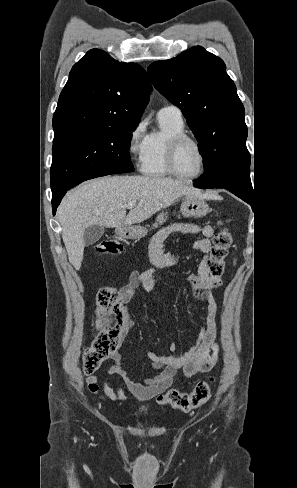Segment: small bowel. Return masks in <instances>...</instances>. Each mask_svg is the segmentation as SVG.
<instances>
[{
	"instance_id": "1",
	"label": "small bowel",
	"mask_w": 297,
	"mask_h": 488,
	"mask_svg": "<svg viewBox=\"0 0 297 488\" xmlns=\"http://www.w3.org/2000/svg\"><path fill=\"white\" fill-rule=\"evenodd\" d=\"M173 232L200 235V238L194 242L193 247L202 253L203 257L197 272L191 274L187 281L193 299L204 305L203 318L205 324L199 326V333L192 347L181 354H177V344L175 342L169 344L170 354L168 355L148 351L147 354L152 361V369L158 373L142 381L133 379L126 367L120 362L121 355L118 347L111 356L114 363L107 369L106 373L121 377L127 390L139 401L152 399L169 390L179 370L183 372L185 377L189 378L208 371L216 361L214 343L217 336L218 308L213 292L220 283L210 278L207 267L208 253L211 248L210 238L213 235L211 226L177 223L158 231L151 240L149 250L153 268L144 272H132L128 283L121 287L117 296L122 304H127L134 299L139 288L145 291H151L155 288L157 284L155 269L169 266L179 258L178 253H166L163 250L165 241ZM97 324L101 326L100 318L97 319ZM133 327V319L129 313L125 312L124 330L128 331ZM121 341L122 339L119 344ZM86 384L88 389L95 394L101 388L103 391L102 399H109L114 402L130 400V397L125 394L120 384H116L113 387L98 374L89 375L86 378Z\"/></svg>"
}]
</instances>
